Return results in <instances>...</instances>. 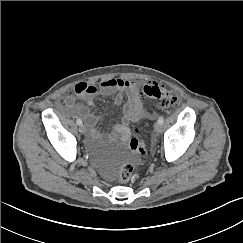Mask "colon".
Segmentation results:
<instances>
[{
  "instance_id": "5ec220e1",
  "label": "colon",
  "mask_w": 243,
  "mask_h": 243,
  "mask_svg": "<svg viewBox=\"0 0 243 243\" xmlns=\"http://www.w3.org/2000/svg\"><path fill=\"white\" fill-rule=\"evenodd\" d=\"M145 97L154 101L163 108H169L177 103V97L175 93L165 87L164 85L158 84L154 81L147 82L142 89ZM129 148L132 152L138 155L140 159L147 155V145L146 142L140 137H133L130 139ZM134 167L131 163L122 164L118 180L121 184H127L131 181L133 176Z\"/></svg>"
}]
</instances>
